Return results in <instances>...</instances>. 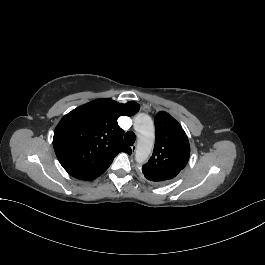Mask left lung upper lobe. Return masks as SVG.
<instances>
[{"label": "left lung upper lobe", "mask_w": 265, "mask_h": 265, "mask_svg": "<svg viewBox=\"0 0 265 265\" xmlns=\"http://www.w3.org/2000/svg\"><path fill=\"white\" fill-rule=\"evenodd\" d=\"M154 123V152L143 166L142 172L152 183L163 185L176 177L187 165L190 146L181 125L167 112H158L154 117Z\"/></svg>", "instance_id": "1"}]
</instances>
